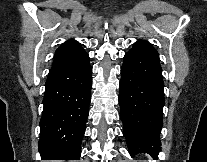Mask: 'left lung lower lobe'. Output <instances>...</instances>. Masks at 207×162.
<instances>
[{
	"mask_svg": "<svg viewBox=\"0 0 207 162\" xmlns=\"http://www.w3.org/2000/svg\"><path fill=\"white\" fill-rule=\"evenodd\" d=\"M119 89L120 117L130 155L148 153L157 159L165 104L159 58L127 52Z\"/></svg>",
	"mask_w": 207,
	"mask_h": 162,
	"instance_id": "0a47b994",
	"label": "left lung lower lobe"
}]
</instances>
